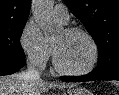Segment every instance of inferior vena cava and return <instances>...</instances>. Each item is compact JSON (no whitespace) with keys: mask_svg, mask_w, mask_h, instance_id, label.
I'll return each instance as SVG.
<instances>
[{"mask_svg":"<svg viewBox=\"0 0 119 95\" xmlns=\"http://www.w3.org/2000/svg\"><path fill=\"white\" fill-rule=\"evenodd\" d=\"M23 76L28 80H39L40 74L35 67V62L29 61L27 63V69L23 72Z\"/></svg>","mask_w":119,"mask_h":95,"instance_id":"obj_1","label":"inferior vena cava"}]
</instances>
